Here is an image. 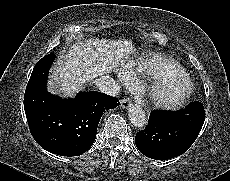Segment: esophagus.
<instances>
[{"label": "esophagus", "mask_w": 230, "mask_h": 181, "mask_svg": "<svg viewBox=\"0 0 230 181\" xmlns=\"http://www.w3.org/2000/svg\"><path fill=\"white\" fill-rule=\"evenodd\" d=\"M121 106L123 109H128L130 105L132 104L131 100L129 98H124L121 100Z\"/></svg>", "instance_id": "esophagus-1"}]
</instances>
